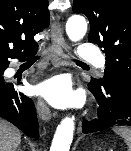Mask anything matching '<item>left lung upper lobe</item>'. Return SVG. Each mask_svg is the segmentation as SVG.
Masks as SVG:
<instances>
[{
    "label": "left lung upper lobe",
    "mask_w": 131,
    "mask_h": 151,
    "mask_svg": "<svg viewBox=\"0 0 131 151\" xmlns=\"http://www.w3.org/2000/svg\"><path fill=\"white\" fill-rule=\"evenodd\" d=\"M73 11L88 17L89 42L106 55L104 77L91 82L131 89V0H74Z\"/></svg>",
    "instance_id": "5c2ea615"
}]
</instances>
